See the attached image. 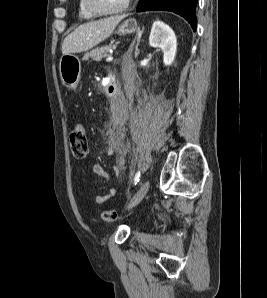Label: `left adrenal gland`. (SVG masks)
I'll return each instance as SVG.
<instances>
[{
    "mask_svg": "<svg viewBox=\"0 0 267 298\" xmlns=\"http://www.w3.org/2000/svg\"><path fill=\"white\" fill-rule=\"evenodd\" d=\"M142 34H143V30H139V31L137 32V37L132 41V43H131V45H130V47H129L127 53H126V55H127L128 57H130L131 54H132V51H133V47H134V45H135V42H137L136 45H135V58L138 57V55H139V53H140V51H139V49H138V46H139V43H140Z\"/></svg>",
    "mask_w": 267,
    "mask_h": 298,
    "instance_id": "left-adrenal-gland-1",
    "label": "left adrenal gland"
}]
</instances>
